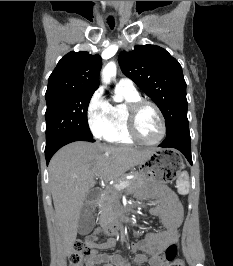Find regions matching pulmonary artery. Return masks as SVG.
Returning <instances> with one entry per match:
<instances>
[{
	"mask_svg": "<svg viewBox=\"0 0 233 266\" xmlns=\"http://www.w3.org/2000/svg\"><path fill=\"white\" fill-rule=\"evenodd\" d=\"M116 87L127 90V91H136L133 81L126 77L119 79Z\"/></svg>",
	"mask_w": 233,
	"mask_h": 266,
	"instance_id": "1",
	"label": "pulmonary artery"
}]
</instances>
